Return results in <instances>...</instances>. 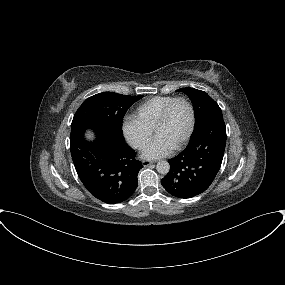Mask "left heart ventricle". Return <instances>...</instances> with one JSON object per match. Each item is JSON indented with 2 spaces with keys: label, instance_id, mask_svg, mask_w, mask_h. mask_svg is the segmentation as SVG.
Wrapping results in <instances>:
<instances>
[{
  "label": "left heart ventricle",
  "instance_id": "1",
  "mask_svg": "<svg viewBox=\"0 0 285 285\" xmlns=\"http://www.w3.org/2000/svg\"><path fill=\"white\" fill-rule=\"evenodd\" d=\"M189 124V109L185 103L178 102L172 107L166 122L157 130L155 135L162 137L175 147L185 137Z\"/></svg>",
  "mask_w": 285,
  "mask_h": 285
}]
</instances>
